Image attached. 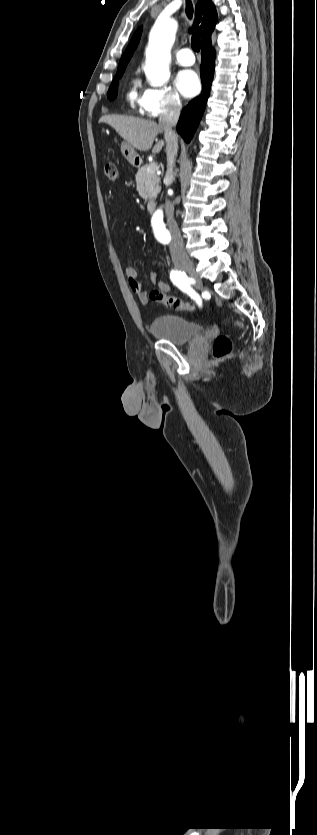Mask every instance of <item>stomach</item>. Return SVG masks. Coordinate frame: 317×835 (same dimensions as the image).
Returning a JSON list of instances; mask_svg holds the SVG:
<instances>
[{
	"label": "stomach",
	"instance_id": "obj_1",
	"mask_svg": "<svg viewBox=\"0 0 317 835\" xmlns=\"http://www.w3.org/2000/svg\"><path fill=\"white\" fill-rule=\"evenodd\" d=\"M121 152H122V155L124 156V158L133 165H135V164L139 163V161H141V157L139 156V154L127 142H122Z\"/></svg>",
	"mask_w": 317,
	"mask_h": 835
}]
</instances>
